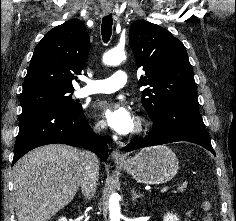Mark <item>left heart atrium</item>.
<instances>
[{
	"label": "left heart atrium",
	"mask_w": 236,
	"mask_h": 221,
	"mask_svg": "<svg viewBox=\"0 0 236 221\" xmlns=\"http://www.w3.org/2000/svg\"><path fill=\"white\" fill-rule=\"evenodd\" d=\"M98 108L106 124L116 133L126 135L134 127V117L129 108L122 102L101 101Z\"/></svg>",
	"instance_id": "left-heart-atrium-1"
}]
</instances>
